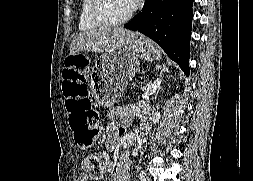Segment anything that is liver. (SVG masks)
<instances>
[{
  "instance_id": "6515ba94",
  "label": "liver",
  "mask_w": 253,
  "mask_h": 181,
  "mask_svg": "<svg viewBox=\"0 0 253 181\" xmlns=\"http://www.w3.org/2000/svg\"><path fill=\"white\" fill-rule=\"evenodd\" d=\"M138 36V32H133L122 27H102L88 30L79 33L73 38L70 46V55L79 51H92L95 53L111 52L118 46L133 43Z\"/></svg>"
}]
</instances>
